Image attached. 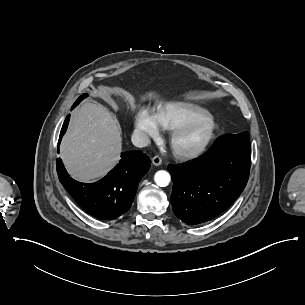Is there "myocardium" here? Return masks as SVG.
<instances>
[{
  "label": "myocardium",
  "instance_id": "myocardium-1",
  "mask_svg": "<svg viewBox=\"0 0 305 305\" xmlns=\"http://www.w3.org/2000/svg\"><path fill=\"white\" fill-rule=\"evenodd\" d=\"M206 124L208 126V133L206 137L197 143L189 142L187 134L191 128L197 125ZM220 132V125L217 118L210 114L206 117H202L198 120L191 121L180 126L172 135L171 146L175 156L179 158H192L206 150H208Z\"/></svg>",
  "mask_w": 305,
  "mask_h": 305
}]
</instances>
